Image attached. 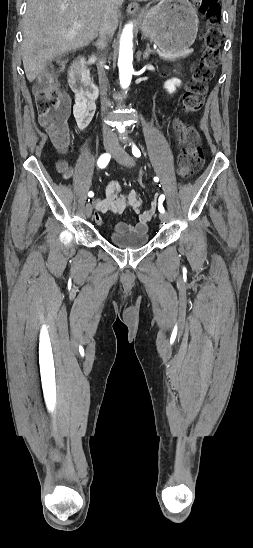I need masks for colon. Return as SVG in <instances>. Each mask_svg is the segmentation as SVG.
Returning a JSON list of instances; mask_svg holds the SVG:
<instances>
[{
  "instance_id": "1",
  "label": "colon",
  "mask_w": 253,
  "mask_h": 548,
  "mask_svg": "<svg viewBox=\"0 0 253 548\" xmlns=\"http://www.w3.org/2000/svg\"><path fill=\"white\" fill-rule=\"evenodd\" d=\"M201 10L207 16V27L203 35L205 49L200 60L192 68V78L186 86L182 98V108L187 114L197 113L204 102L207 83L212 79L218 66L223 36L220 31V5L218 0H197ZM59 63L51 64L37 78L33 92L41 124L54 137L57 145L66 147L68 142L67 118L69 102L59 89L57 73ZM174 128L179 136L181 153L178 159V173L188 179L203 166L204 156L200 147L197 131L185 122L177 119ZM139 187L147 188L144 170L138 172Z\"/></svg>"
}]
</instances>
